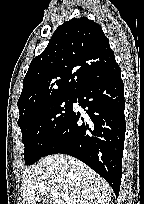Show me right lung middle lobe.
Masks as SVG:
<instances>
[{
    "label": "right lung middle lobe",
    "mask_w": 144,
    "mask_h": 204,
    "mask_svg": "<svg viewBox=\"0 0 144 204\" xmlns=\"http://www.w3.org/2000/svg\"><path fill=\"white\" fill-rule=\"evenodd\" d=\"M74 97H55L20 115L25 164L32 165L44 156L51 140L70 117Z\"/></svg>",
    "instance_id": "obj_1"
}]
</instances>
